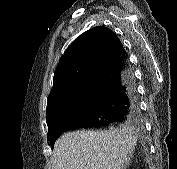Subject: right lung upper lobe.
<instances>
[{"instance_id":"right-lung-upper-lobe-1","label":"right lung upper lobe","mask_w":177,"mask_h":169,"mask_svg":"<svg viewBox=\"0 0 177 169\" xmlns=\"http://www.w3.org/2000/svg\"><path fill=\"white\" fill-rule=\"evenodd\" d=\"M125 52L119 38L99 26L81 34L67 48L54 74L47 106L63 100Z\"/></svg>"}]
</instances>
